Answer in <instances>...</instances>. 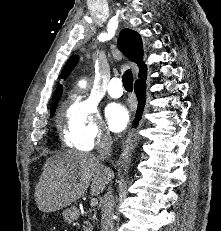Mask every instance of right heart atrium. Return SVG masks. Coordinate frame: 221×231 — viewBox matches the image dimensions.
I'll use <instances>...</instances> for the list:
<instances>
[{
  "label": "right heart atrium",
  "mask_w": 221,
  "mask_h": 231,
  "mask_svg": "<svg viewBox=\"0 0 221 231\" xmlns=\"http://www.w3.org/2000/svg\"><path fill=\"white\" fill-rule=\"evenodd\" d=\"M65 142L82 151L92 150L109 142L97 106L88 98L76 96L66 111Z\"/></svg>",
  "instance_id": "obj_1"
}]
</instances>
